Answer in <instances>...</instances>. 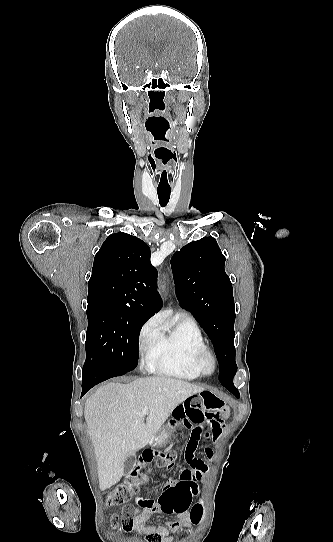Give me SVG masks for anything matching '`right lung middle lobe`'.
<instances>
[{"instance_id": "obj_1", "label": "right lung middle lobe", "mask_w": 333, "mask_h": 542, "mask_svg": "<svg viewBox=\"0 0 333 542\" xmlns=\"http://www.w3.org/2000/svg\"><path fill=\"white\" fill-rule=\"evenodd\" d=\"M85 364L100 363L122 374L136 368L139 333L149 315L111 306L87 308Z\"/></svg>"}]
</instances>
